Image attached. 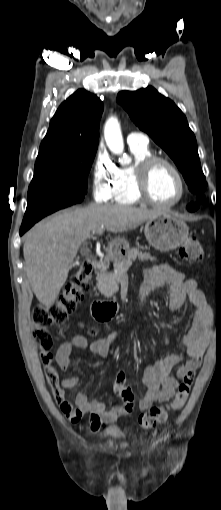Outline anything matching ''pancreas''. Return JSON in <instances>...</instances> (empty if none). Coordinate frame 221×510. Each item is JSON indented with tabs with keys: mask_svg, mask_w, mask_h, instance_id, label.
Segmentation results:
<instances>
[{
	"mask_svg": "<svg viewBox=\"0 0 221 510\" xmlns=\"http://www.w3.org/2000/svg\"><path fill=\"white\" fill-rule=\"evenodd\" d=\"M136 259H139V261H154L156 258L152 257L150 253L139 251L138 248L130 249L124 258L114 263L113 272L99 275L97 287L104 296L111 297L114 295L118 289L121 274L126 272Z\"/></svg>",
	"mask_w": 221,
	"mask_h": 510,
	"instance_id": "obj_1",
	"label": "pancreas"
}]
</instances>
